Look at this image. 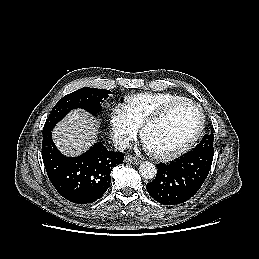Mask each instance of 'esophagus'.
<instances>
[{
  "mask_svg": "<svg viewBox=\"0 0 259 259\" xmlns=\"http://www.w3.org/2000/svg\"><path fill=\"white\" fill-rule=\"evenodd\" d=\"M125 161L126 162H130V163H133V164H139L140 163V160L131 156V155H128L125 157Z\"/></svg>",
  "mask_w": 259,
  "mask_h": 259,
  "instance_id": "obj_1",
  "label": "esophagus"
}]
</instances>
